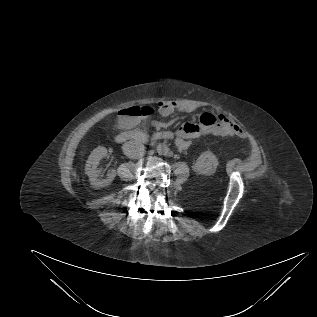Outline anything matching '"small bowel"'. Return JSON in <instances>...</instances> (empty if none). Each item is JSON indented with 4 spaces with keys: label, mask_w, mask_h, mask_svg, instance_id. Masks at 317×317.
<instances>
[{
    "label": "small bowel",
    "mask_w": 317,
    "mask_h": 317,
    "mask_svg": "<svg viewBox=\"0 0 317 317\" xmlns=\"http://www.w3.org/2000/svg\"><path fill=\"white\" fill-rule=\"evenodd\" d=\"M159 112L162 116H168L176 111L191 113L196 110V106L188 101H162L158 103ZM215 116L211 113H203V115ZM126 126H133L136 124L134 119H126L124 121ZM242 132L241 129L234 124L228 117L220 115L217 121L213 124H208L202 121L200 123H185L176 133L175 141L177 146L185 150L189 146V139L200 137L204 134H215L222 136H230Z\"/></svg>",
    "instance_id": "small-bowel-1"
}]
</instances>
